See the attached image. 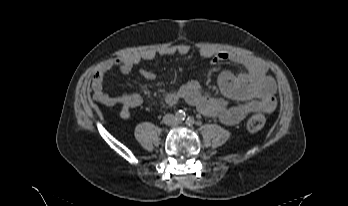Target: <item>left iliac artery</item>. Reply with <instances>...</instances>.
Returning a JSON list of instances; mask_svg holds the SVG:
<instances>
[{
  "mask_svg": "<svg viewBox=\"0 0 348 206\" xmlns=\"http://www.w3.org/2000/svg\"><path fill=\"white\" fill-rule=\"evenodd\" d=\"M187 122H188V123H192V122H193V118L188 117Z\"/></svg>",
  "mask_w": 348,
  "mask_h": 206,
  "instance_id": "obj_1",
  "label": "left iliac artery"
}]
</instances>
